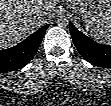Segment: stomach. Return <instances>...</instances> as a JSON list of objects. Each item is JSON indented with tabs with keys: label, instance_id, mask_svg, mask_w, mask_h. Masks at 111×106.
Instances as JSON below:
<instances>
[{
	"label": "stomach",
	"instance_id": "0dacf381",
	"mask_svg": "<svg viewBox=\"0 0 111 106\" xmlns=\"http://www.w3.org/2000/svg\"><path fill=\"white\" fill-rule=\"evenodd\" d=\"M68 5L84 22L104 20L111 12L108 0H70Z\"/></svg>",
	"mask_w": 111,
	"mask_h": 106
}]
</instances>
